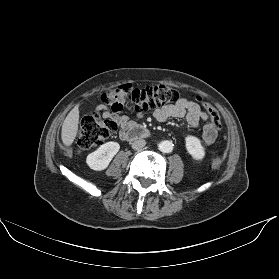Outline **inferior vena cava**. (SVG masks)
Masks as SVG:
<instances>
[{
	"mask_svg": "<svg viewBox=\"0 0 279 279\" xmlns=\"http://www.w3.org/2000/svg\"><path fill=\"white\" fill-rule=\"evenodd\" d=\"M146 145V141L144 139L136 140L132 143V148L135 150H139Z\"/></svg>",
	"mask_w": 279,
	"mask_h": 279,
	"instance_id": "1",
	"label": "inferior vena cava"
}]
</instances>
